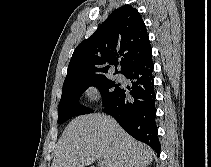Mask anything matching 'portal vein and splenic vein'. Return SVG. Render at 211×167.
Segmentation results:
<instances>
[{
	"label": "portal vein and splenic vein",
	"instance_id": "obj_1",
	"mask_svg": "<svg viewBox=\"0 0 211 167\" xmlns=\"http://www.w3.org/2000/svg\"><path fill=\"white\" fill-rule=\"evenodd\" d=\"M99 167H106V162L104 160H98Z\"/></svg>",
	"mask_w": 211,
	"mask_h": 167
}]
</instances>
